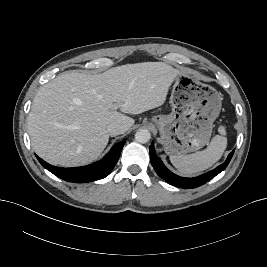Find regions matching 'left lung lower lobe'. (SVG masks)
Segmentation results:
<instances>
[{"instance_id":"1","label":"left lung lower lobe","mask_w":267,"mask_h":267,"mask_svg":"<svg viewBox=\"0 0 267 267\" xmlns=\"http://www.w3.org/2000/svg\"><path fill=\"white\" fill-rule=\"evenodd\" d=\"M149 151H150L151 163L153 165V168L157 172V174L169 184L174 185L176 187L184 188V189H192V188L199 187L205 184L206 182H208L209 180H211L216 175H218L220 172H222L227 167L234 153V151H232L228 155V158L223 164H221L220 166H218L217 168H215L214 170L208 173L202 174L194 178H183V177L175 175L174 173H172L170 170H168L165 167L161 159L156 155L153 142L150 145Z\"/></svg>"}]
</instances>
